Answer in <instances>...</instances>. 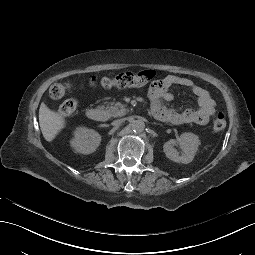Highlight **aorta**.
<instances>
[{
  "label": "aorta",
  "instance_id": "762f6f07",
  "mask_svg": "<svg viewBox=\"0 0 255 255\" xmlns=\"http://www.w3.org/2000/svg\"><path fill=\"white\" fill-rule=\"evenodd\" d=\"M131 126L134 132H143L145 129V123L142 120H134Z\"/></svg>",
  "mask_w": 255,
  "mask_h": 255
}]
</instances>
